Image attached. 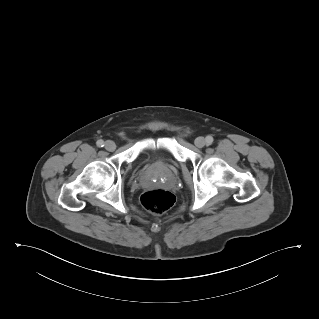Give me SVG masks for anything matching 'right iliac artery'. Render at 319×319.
<instances>
[{"instance_id": "82829eb1", "label": "right iliac artery", "mask_w": 319, "mask_h": 319, "mask_svg": "<svg viewBox=\"0 0 319 319\" xmlns=\"http://www.w3.org/2000/svg\"><path fill=\"white\" fill-rule=\"evenodd\" d=\"M97 146L98 147H103L104 146V141L103 140H98L97 141Z\"/></svg>"}]
</instances>
